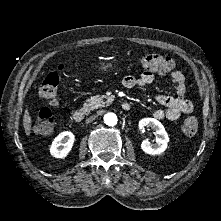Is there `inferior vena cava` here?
I'll use <instances>...</instances> for the list:
<instances>
[{"mask_svg": "<svg viewBox=\"0 0 221 221\" xmlns=\"http://www.w3.org/2000/svg\"><path fill=\"white\" fill-rule=\"evenodd\" d=\"M96 118V116H91L86 120V123H90L92 122L94 119Z\"/></svg>", "mask_w": 221, "mask_h": 221, "instance_id": "inferior-vena-cava-1", "label": "inferior vena cava"}]
</instances>
